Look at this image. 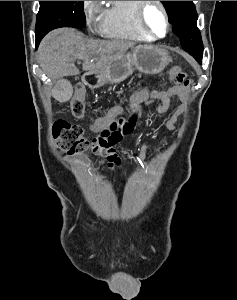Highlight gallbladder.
<instances>
[{"label": "gallbladder", "mask_w": 237, "mask_h": 300, "mask_svg": "<svg viewBox=\"0 0 237 300\" xmlns=\"http://www.w3.org/2000/svg\"><path fill=\"white\" fill-rule=\"evenodd\" d=\"M62 81L63 82H59L53 88V93L55 94L54 99L55 101H59L60 105H66L68 99H70V94L73 93V88L68 76H64Z\"/></svg>", "instance_id": "bac80fb5"}]
</instances>
